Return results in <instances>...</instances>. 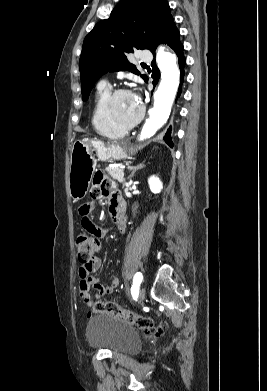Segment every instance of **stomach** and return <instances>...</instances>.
<instances>
[{
    "instance_id": "obj_1",
    "label": "stomach",
    "mask_w": 267,
    "mask_h": 391,
    "mask_svg": "<svg viewBox=\"0 0 267 391\" xmlns=\"http://www.w3.org/2000/svg\"><path fill=\"white\" fill-rule=\"evenodd\" d=\"M127 157L124 146L105 145L98 140H77L71 150L69 192L74 201L82 199L89 189L97 161L122 160Z\"/></svg>"
}]
</instances>
